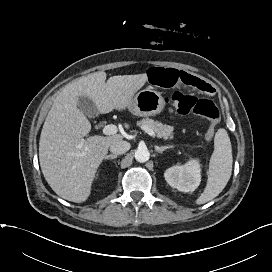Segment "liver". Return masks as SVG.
Instances as JSON below:
<instances>
[{"mask_svg": "<svg viewBox=\"0 0 272 272\" xmlns=\"http://www.w3.org/2000/svg\"><path fill=\"white\" fill-rule=\"evenodd\" d=\"M94 72L67 85L56 96L45 119L39 142L42 173L52 190L61 198L85 202L91 192L96 171L109 146L122 140L120 134L91 136L90 121L78 108L79 97L92 100L97 112L125 110L134 94L144 86L147 74L118 75Z\"/></svg>", "mask_w": 272, "mask_h": 272, "instance_id": "liver-1", "label": "liver"}]
</instances>
